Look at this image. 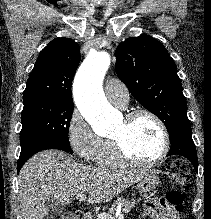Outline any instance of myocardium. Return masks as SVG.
Wrapping results in <instances>:
<instances>
[{
  "mask_svg": "<svg viewBox=\"0 0 211 219\" xmlns=\"http://www.w3.org/2000/svg\"><path fill=\"white\" fill-rule=\"evenodd\" d=\"M140 116L150 117L152 120L155 121V123L158 125L161 131L162 148L160 150V153L157 155V157L148 161L138 160L133 158L130 154H128L120 138L112 137L111 142L113 144L115 154L122 164L128 166H135V167H152L162 162L167 156L170 149V136L168 129L165 123L163 122V120L156 113L148 109H136L128 112L124 118L125 123L129 124Z\"/></svg>",
  "mask_w": 211,
  "mask_h": 219,
  "instance_id": "myocardium-1",
  "label": "myocardium"
}]
</instances>
